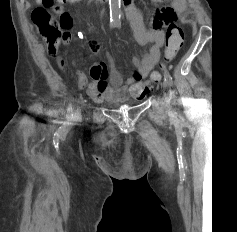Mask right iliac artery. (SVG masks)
Here are the masks:
<instances>
[{
    "mask_svg": "<svg viewBox=\"0 0 237 232\" xmlns=\"http://www.w3.org/2000/svg\"><path fill=\"white\" fill-rule=\"evenodd\" d=\"M66 118H67V120H71L73 118L71 104H69V106H68Z\"/></svg>",
    "mask_w": 237,
    "mask_h": 232,
    "instance_id": "right-iliac-artery-1",
    "label": "right iliac artery"
}]
</instances>
